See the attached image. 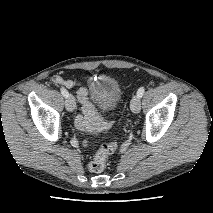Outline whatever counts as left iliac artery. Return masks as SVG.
I'll return each mask as SVG.
<instances>
[{"label":"left iliac artery","instance_id":"obj_1","mask_svg":"<svg viewBox=\"0 0 213 213\" xmlns=\"http://www.w3.org/2000/svg\"><path fill=\"white\" fill-rule=\"evenodd\" d=\"M144 92H145V88L140 87L137 91V96L141 98L143 96Z\"/></svg>","mask_w":213,"mask_h":213}]
</instances>
